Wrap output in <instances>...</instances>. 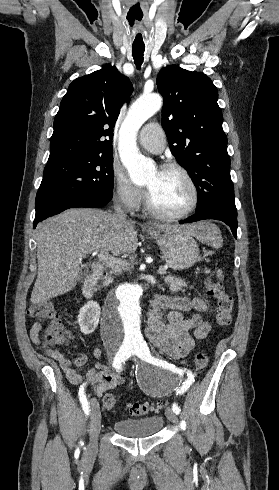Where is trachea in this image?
Returning <instances> with one entry per match:
<instances>
[{
  "mask_svg": "<svg viewBox=\"0 0 279 490\" xmlns=\"http://www.w3.org/2000/svg\"><path fill=\"white\" fill-rule=\"evenodd\" d=\"M144 50H145V47L132 46L133 58H134V62H135V65L137 66V68H140V66L143 63Z\"/></svg>",
  "mask_w": 279,
  "mask_h": 490,
  "instance_id": "trachea-1",
  "label": "trachea"
}]
</instances>
